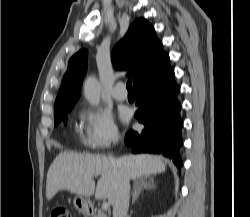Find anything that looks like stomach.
<instances>
[{
  "label": "stomach",
  "mask_w": 250,
  "mask_h": 217,
  "mask_svg": "<svg viewBox=\"0 0 250 217\" xmlns=\"http://www.w3.org/2000/svg\"><path fill=\"white\" fill-rule=\"evenodd\" d=\"M73 204L75 206V208L84 215H88L90 214V206H91V202L90 199L88 197H84V196H79L77 195L74 200H73Z\"/></svg>",
  "instance_id": "0dacf381"
}]
</instances>
